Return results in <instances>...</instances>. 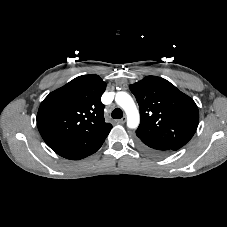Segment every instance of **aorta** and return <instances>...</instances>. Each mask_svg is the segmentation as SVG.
Returning <instances> with one entry per match:
<instances>
[{
	"instance_id": "obj_1",
	"label": "aorta",
	"mask_w": 227,
	"mask_h": 227,
	"mask_svg": "<svg viewBox=\"0 0 227 227\" xmlns=\"http://www.w3.org/2000/svg\"><path fill=\"white\" fill-rule=\"evenodd\" d=\"M115 101L127 115V126L131 129L137 128L140 116L132 97L126 92H118Z\"/></svg>"
}]
</instances>
